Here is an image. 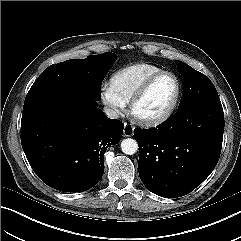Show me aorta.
Segmentation results:
<instances>
[{"mask_svg":"<svg viewBox=\"0 0 241 241\" xmlns=\"http://www.w3.org/2000/svg\"><path fill=\"white\" fill-rule=\"evenodd\" d=\"M121 150L126 155H133L138 150V143L135 139L126 138L121 142Z\"/></svg>","mask_w":241,"mask_h":241,"instance_id":"1","label":"aorta"}]
</instances>
